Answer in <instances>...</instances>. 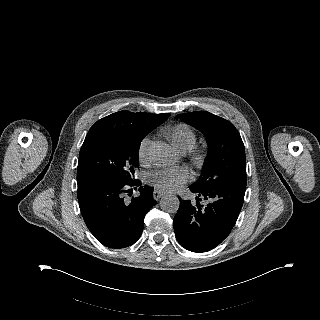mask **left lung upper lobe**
Wrapping results in <instances>:
<instances>
[{
	"label": "left lung upper lobe",
	"mask_w": 320,
	"mask_h": 320,
	"mask_svg": "<svg viewBox=\"0 0 320 320\" xmlns=\"http://www.w3.org/2000/svg\"><path fill=\"white\" fill-rule=\"evenodd\" d=\"M180 117L201 131L210 145L202 174L192 186L205 190L228 182L246 185L245 148L234 125L206 111L184 113Z\"/></svg>",
	"instance_id": "left-lung-upper-lobe-1"
}]
</instances>
